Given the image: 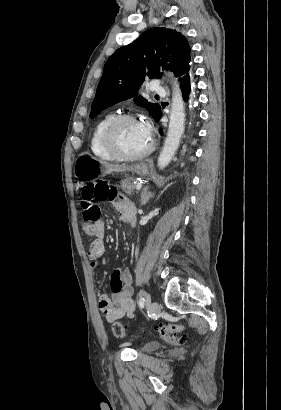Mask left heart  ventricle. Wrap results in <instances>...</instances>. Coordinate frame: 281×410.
Returning a JSON list of instances; mask_svg holds the SVG:
<instances>
[{"instance_id":"left-heart-ventricle-1","label":"left heart ventricle","mask_w":281,"mask_h":410,"mask_svg":"<svg viewBox=\"0 0 281 410\" xmlns=\"http://www.w3.org/2000/svg\"><path fill=\"white\" fill-rule=\"evenodd\" d=\"M115 140L127 153L141 152L150 144V139L145 135L138 121L122 122L116 129Z\"/></svg>"}]
</instances>
